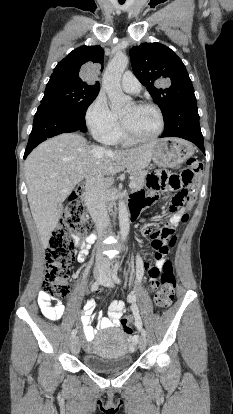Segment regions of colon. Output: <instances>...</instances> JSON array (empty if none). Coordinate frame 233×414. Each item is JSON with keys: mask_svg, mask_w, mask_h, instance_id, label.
I'll list each match as a JSON object with an SVG mask.
<instances>
[{"mask_svg": "<svg viewBox=\"0 0 233 414\" xmlns=\"http://www.w3.org/2000/svg\"><path fill=\"white\" fill-rule=\"evenodd\" d=\"M203 173V165L196 159L188 161V167L181 174L158 170L150 173L146 179L148 191L155 197L160 192L172 193L171 210L176 211L183 206L190 207L196 198V188L199 178ZM85 196V188L78 185L71 192L66 209L60 217V221L49 240L46 251L47 268L43 291L54 298H61L68 293V280L72 274L74 260V239L70 234L73 230L77 234H86L91 231L92 224L84 216L82 200ZM188 220V213L184 214L182 221ZM176 242L170 228L163 229L152 242L154 255L160 259L166 255L168 245L173 247ZM151 275L156 279L153 285L154 306L157 309L168 308L174 298L176 277L173 265L169 260H164L161 269L152 267ZM121 326L126 334H131L132 319L130 317L121 320Z\"/></svg>", "mask_w": 233, "mask_h": 414, "instance_id": "obj_1", "label": "colon"}]
</instances>
